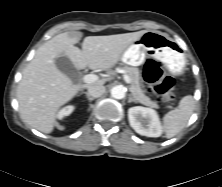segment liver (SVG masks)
<instances>
[{
  "mask_svg": "<svg viewBox=\"0 0 222 187\" xmlns=\"http://www.w3.org/2000/svg\"><path fill=\"white\" fill-rule=\"evenodd\" d=\"M145 30L108 36H88L82 50L75 46L82 37L78 31L54 36L38 48L34 58L23 70L17 88V100L22 119L31 127L51 133L56 125L60 107L74 98L80 90L105 83L97 80L88 85H76L56 64L55 58L65 54L78 69L109 70L126 48L140 39Z\"/></svg>",
  "mask_w": 222,
  "mask_h": 187,
  "instance_id": "obj_1",
  "label": "liver"
}]
</instances>
